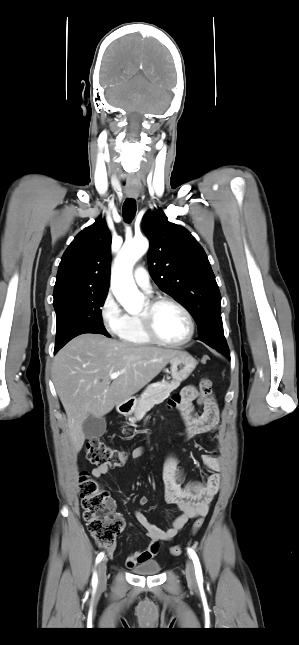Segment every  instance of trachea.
Listing matches in <instances>:
<instances>
[{
    "label": "trachea",
    "instance_id": "1",
    "mask_svg": "<svg viewBox=\"0 0 299 645\" xmlns=\"http://www.w3.org/2000/svg\"><path fill=\"white\" fill-rule=\"evenodd\" d=\"M123 218L127 223H130L136 214V201L131 198H127L123 204Z\"/></svg>",
    "mask_w": 299,
    "mask_h": 645
}]
</instances>
